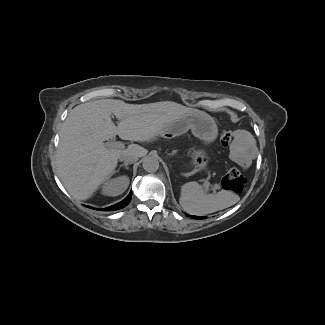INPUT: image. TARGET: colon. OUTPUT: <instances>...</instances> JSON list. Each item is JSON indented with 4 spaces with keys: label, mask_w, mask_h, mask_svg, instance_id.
<instances>
[{
    "label": "colon",
    "mask_w": 325,
    "mask_h": 325,
    "mask_svg": "<svg viewBox=\"0 0 325 325\" xmlns=\"http://www.w3.org/2000/svg\"><path fill=\"white\" fill-rule=\"evenodd\" d=\"M232 141V134L228 130H222L220 132V142L223 146H228ZM246 178L242 172L237 169H231L221 181V185L225 190L240 193L245 186Z\"/></svg>",
    "instance_id": "1"
}]
</instances>
